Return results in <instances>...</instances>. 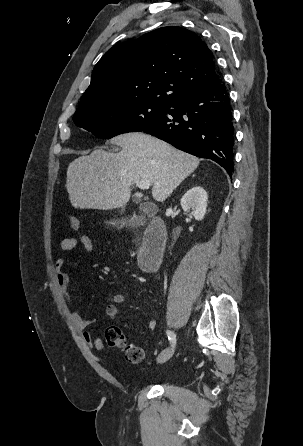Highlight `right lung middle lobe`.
I'll return each mask as SVG.
<instances>
[{"mask_svg":"<svg viewBox=\"0 0 303 446\" xmlns=\"http://www.w3.org/2000/svg\"><path fill=\"white\" fill-rule=\"evenodd\" d=\"M171 106L148 101H131L103 105L76 113L74 123L95 136L108 139L121 133L143 131L164 116Z\"/></svg>","mask_w":303,"mask_h":446,"instance_id":"obj_1","label":"right lung middle lobe"}]
</instances>
